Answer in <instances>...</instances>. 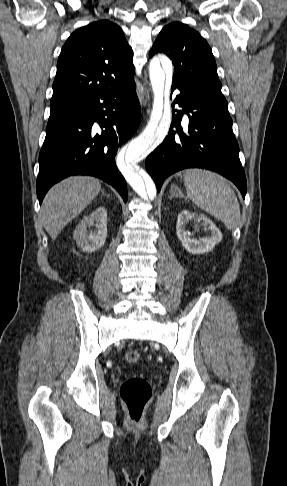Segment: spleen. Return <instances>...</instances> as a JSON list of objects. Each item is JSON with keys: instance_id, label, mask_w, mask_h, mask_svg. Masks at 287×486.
I'll return each mask as SVG.
<instances>
[{"instance_id": "spleen-1", "label": "spleen", "mask_w": 287, "mask_h": 486, "mask_svg": "<svg viewBox=\"0 0 287 486\" xmlns=\"http://www.w3.org/2000/svg\"><path fill=\"white\" fill-rule=\"evenodd\" d=\"M184 181L189 199L199 208L234 230L241 217L237 197L221 175L202 169L186 171Z\"/></svg>"}]
</instances>
